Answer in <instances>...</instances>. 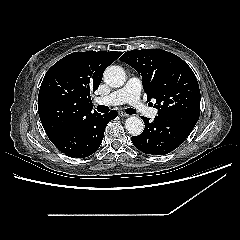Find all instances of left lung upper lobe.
I'll return each mask as SVG.
<instances>
[{
  "label": "left lung upper lobe",
  "mask_w": 240,
  "mask_h": 240,
  "mask_svg": "<svg viewBox=\"0 0 240 240\" xmlns=\"http://www.w3.org/2000/svg\"><path fill=\"white\" fill-rule=\"evenodd\" d=\"M120 59L141 75L148 99H156L158 115H200L199 85L181 58L161 49H141L128 51Z\"/></svg>",
  "instance_id": "1"
}]
</instances>
